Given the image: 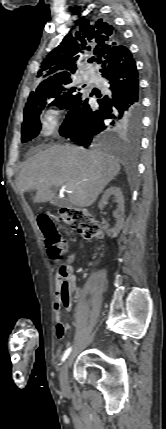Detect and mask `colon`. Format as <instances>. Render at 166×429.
<instances>
[{"label": "colon", "mask_w": 166, "mask_h": 429, "mask_svg": "<svg viewBox=\"0 0 166 429\" xmlns=\"http://www.w3.org/2000/svg\"><path fill=\"white\" fill-rule=\"evenodd\" d=\"M58 218L61 222L75 229L86 239L98 238L101 229L95 215L84 208L67 207L59 211ZM38 225L44 236L48 255L51 259H60L65 251L66 244L62 239L52 219L47 215L38 217ZM68 281L64 282L63 289L66 293L71 291Z\"/></svg>", "instance_id": "1"}]
</instances>
